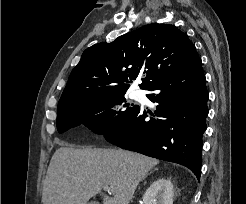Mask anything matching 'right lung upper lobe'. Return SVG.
I'll return each instance as SVG.
<instances>
[{"label":"right lung upper lobe","instance_id":"cb5924a9","mask_svg":"<svg viewBox=\"0 0 246 204\" xmlns=\"http://www.w3.org/2000/svg\"><path fill=\"white\" fill-rule=\"evenodd\" d=\"M199 58L187 35L173 25L149 24L87 48L72 70L59 103L91 95L125 93L143 72L141 89Z\"/></svg>","mask_w":246,"mask_h":204}]
</instances>
